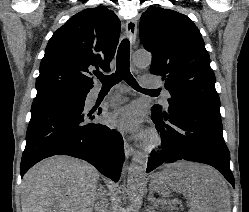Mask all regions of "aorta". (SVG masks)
Instances as JSON below:
<instances>
[{
    "label": "aorta",
    "mask_w": 249,
    "mask_h": 212,
    "mask_svg": "<svg viewBox=\"0 0 249 212\" xmlns=\"http://www.w3.org/2000/svg\"><path fill=\"white\" fill-rule=\"evenodd\" d=\"M152 57L145 51H137L132 57V62L137 67H145L151 64ZM148 156L144 152H137L128 170L127 189L129 200L133 205L141 195L145 180Z\"/></svg>",
    "instance_id": "aorta-1"
}]
</instances>
